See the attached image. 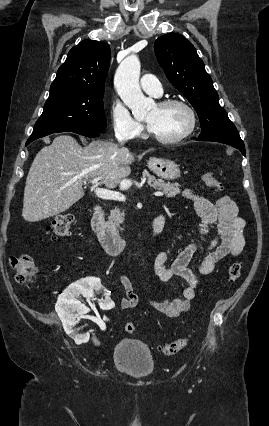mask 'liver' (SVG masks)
I'll list each match as a JSON object with an SVG mask.
<instances>
[{
	"label": "liver",
	"instance_id": "6515ba94",
	"mask_svg": "<svg viewBox=\"0 0 269 426\" xmlns=\"http://www.w3.org/2000/svg\"><path fill=\"white\" fill-rule=\"evenodd\" d=\"M134 155L110 141L82 147L69 135L57 136L34 158L24 189L22 217L38 222L69 209L84 196V181L100 178L114 189L131 173Z\"/></svg>",
	"mask_w": 269,
	"mask_h": 426
}]
</instances>
